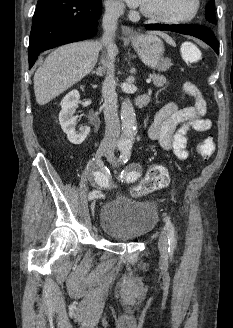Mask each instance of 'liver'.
Returning <instances> with one entry per match:
<instances>
[{
  "label": "liver",
  "mask_w": 233,
  "mask_h": 328,
  "mask_svg": "<svg viewBox=\"0 0 233 328\" xmlns=\"http://www.w3.org/2000/svg\"><path fill=\"white\" fill-rule=\"evenodd\" d=\"M101 49L102 43L99 41H83L61 46L51 52L34 75L36 102L45 105L84 78L94 68ZM117 53L115 45L114 56Z\"/></svg>",
  "instance_id": "liver-1"
}]
</instances>
